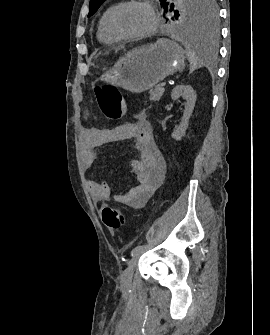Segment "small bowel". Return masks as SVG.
Here are the masks:
<instances>
[{
  "instance_id": "c3829d8e",
  "label": "small bowel",
  "mask_w": 270,
  "mask_h": 335,
  "mask_svg": "<svg viewBox=\"0 0 270 335\" xmlns=\"http://www.w3.org/2000/svg\"><path fill=\"white\" fill-rule=\"evenodd\" d=\"M104 131L95 127H85L82 131L84 142L83 162L91 166L96 160V148L101 144ZM119 139H133L138 158L129 163L137 184L123 194L112 195L107 182L88 180L87 186L95 202L116 201L130 208H140L154 194L164 179L165 162L158 153L152 136L150 122L140 119L118 128Z\"/></svg>"
}]
</instances>
